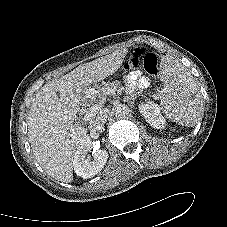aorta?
<instances>
[{
    "instance_id": "1",
    "label": "aorta",
    "mask_w": 227,
    "mask_h": 227,
    "mask_svg": "<svg viewBox=\"0 0 227 227\" xmlns=\"http://www.w3.org/2000/svg\"><path fill=\"white\" fill-rule=\"evenodd\" d=\"M112 113L117 118H124L129 114V108L126 105L118 104L113 107Z\"/></svg>"
}]
</instances>
